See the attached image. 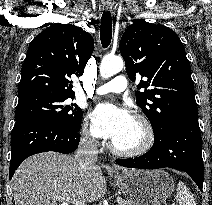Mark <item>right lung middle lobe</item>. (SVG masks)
<instances>
[{"instance_id":"right-lung-middle-lobe-1","label":"right lung middle lobe","mask_w":212,"mask_h":205,"mask_svg":"<svg viewBox=\"0 0 212 205\" xmlns=\"http://www.w3.org/2000/svg\"><path fill=\"white\" fill-rule=\"evenodd\" d=\"M74 96H60L48 93L32 94L18 101L15 120L45 117L56 120L63 125L80 130L82 110L68 100Z\"/></svg>"}]
</instances>
